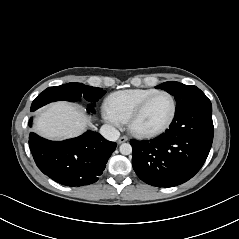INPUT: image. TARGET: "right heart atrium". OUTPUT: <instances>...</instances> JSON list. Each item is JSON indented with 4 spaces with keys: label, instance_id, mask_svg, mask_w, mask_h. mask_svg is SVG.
Segmentation results:
<instances>
[{
    "label": "right heart atrium",
    "instance_id": "d8ad5b80",
    "mask_svg": "<svg viewBox=\"0 0 239 239\" xmlns=\"http://www.w3.org/2000/svg\"><path fill=\"white\" fill-rule=\"evenodd\" d=\"M103 116L105 121L112 127H119L122 123L120 119L109 113L106 109L104 110Z\"/></svg>",
    "mask_w": 239,
    "mask_h": 239
}]
</instances>
